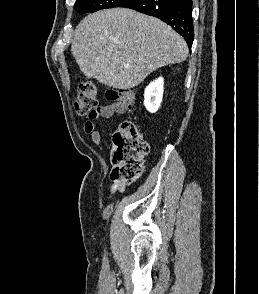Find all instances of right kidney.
<instances>
[{
  "instance_id": "obj_1",
  "label": "right kidney",
  "mask_w": 259,
  "mask_h": 294,
  "mask_svg": "<svg viewBox=\"0 0 259 294\" xmlns=\"http://www.w3.org/2000/svg\"><path fill=\"white\" fill-rule=\"evenodd\" d=\"M163 84V78L160 77L151 82L145 89L144 105L151 113H155L160 107L164 90Z\"/></svg>"
}]
</instances>
